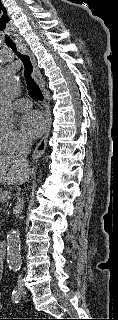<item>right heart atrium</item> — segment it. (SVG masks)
Segmentation results:
<instances>
[{
    "mask_svg": "<svg viewBox=\"0 0 118 320\" xmlns=\"http://www.w3.org/2000/svg\"><path fill=\"white\" fill-rule=\"evenodd\" d=\"M27 144L26 138L14 129H0V151L14 153Z\"/></svg>",
    "mask_w": 118,
    "mask_h": 320,
    "instance_id": "obj_1",
    "label": "right heart atrium"
}]
</instances>
